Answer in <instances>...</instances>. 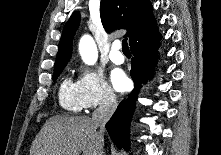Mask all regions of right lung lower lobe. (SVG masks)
I'll return each mask as SVG.
<instances>
[{
	"label": "right lung lower lobe",
	"instance_id": "right-lung-lower-lobe-1",
	"mask_svg": "<svg viewBox=\"0 0 221 155\" xmlns=\"http://www.w3.org/2000/svg\"><path fill=\"white\" fill-rule=\"evenodd\" d=\"M161 35L157 25H153L148 30L144 31L130 44L133 54L131 77L135 87L127 100L122 101L111 119L106 124V129L118 148H129V127L132 115L135 109L136 96L140 90L141 83H145L149 79V70L153 67L155 55L157 53V45ZM153 76V72H152Z\"/></svg>",
	"mask_w": 221,
	"mask_h": 155
}]
</instances>
